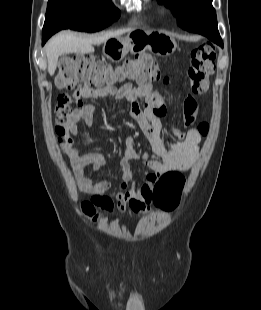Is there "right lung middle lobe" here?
I'll return each mask as SVG.
<instances>
[{
    "mask_svg": "<svg viewBox=\"0 0 261 310\" xmlns=\"http://www.w3.org/2000/svg\"><path fill=\"white\" fill-rule=\"evenodd\" d=\"M120 11L111 0H49L43 30L96 32L112 24Z\"/></svg>",
    "mask_w": 261,
    "mask_h": 310,
    "instance_id": "dd1d6c3e",
    "label": "right lung middle lobe"
}]
</instances>
